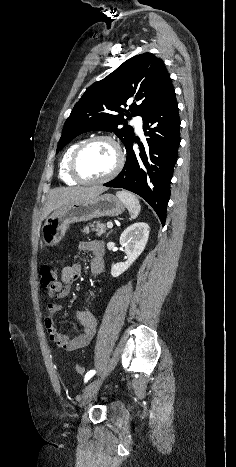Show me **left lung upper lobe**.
I'll use <instances>...</instances> for the list:
<instances>
[{
	"instance_id": "1",
	"label": "left lung upper lobe",
	"mask_w": 236,
	"mask_h": 467,
	"mask_svg": "<svg viewBox=\"0 0 236 467\" xmlns=\"http://www.w3.org/2000/svg\"><path fill=\"white\" fill-rule=\"evenodd\" d=\"M171 87L160 58L144 53L128 59L82 95L65 122L57 152L76 136L92 130L114 132L126 146L134 138V130L124 117H143ZM127 102L131 103L128 110L123 108Z\"/></svg>"
}]
</instances>
